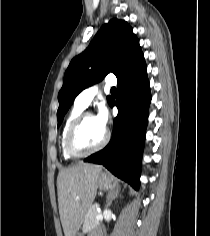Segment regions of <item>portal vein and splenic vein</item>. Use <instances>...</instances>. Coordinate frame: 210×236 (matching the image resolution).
Instances as JSON below:
<instances>
[{
  "instance_id": "obj_1",
  "label": "portal vein and splenic vein",
  "mask_w": 210,
  "mask_h": 236,
  "mask_svg": "<svg viewBox=\"0 0 210 236\" xmlns=\"http://www.w3.org/2000/svg\"><path fill=\"white\" fill-rule=\"evenodd\" d=\"M95 218L98 220H102L103 219L102 213H98Z\"/></svg>"
}]
</instances>
